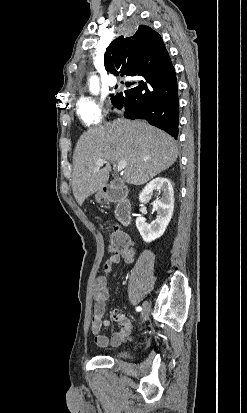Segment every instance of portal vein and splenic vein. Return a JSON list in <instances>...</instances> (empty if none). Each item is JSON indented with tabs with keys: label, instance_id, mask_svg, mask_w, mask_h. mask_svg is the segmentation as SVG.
<instances>
[{
	"label": "portal vein and splenic vein",
	"instance_id": "18ae733b",
	"mask_svg": "<svg viewBox=\"0 0 247 413\" xmlns=\"http://www.w3.org/2000/svg\"><path fill=\"white\" fill-rule=\"evenodd\" d=\"M104 162H108V160H106V158H98L96 166H103ZM126 164L127 160H120L118 164H115V162H113V168L114 170H118V172H120V170H123V168H125Z\"/></svg>",
	"mask_w": 247,
	"mask_h": 413
}]
</instances>
